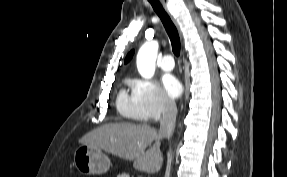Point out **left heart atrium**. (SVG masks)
<instances>
[{
	"label": "left heart atrium",
	"instance_id": "obj_1",
	"mask_svg": "<svg viewBox=\"0 0 287 177\" xmlns=\"http://www.w3.org/2000/svg\"><path fill=\"white\" fill-rule=\"evenodd\" d=\"M165 91L171 98H177L182 93V83L172 74H166L162 78Z\"/></svg>",
	"mask_w": 287,
	"mask_h": 177
}]
</instances>
